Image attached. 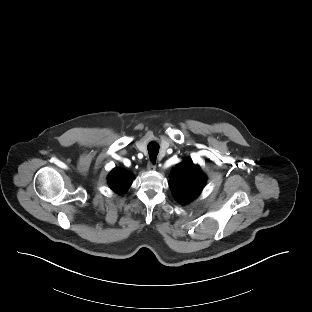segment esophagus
<instances>
[{
    "label": "esophagus",
    "mask_w": 312,
    "mask_h": 312,
    "mask_svg": "<svg viewBox=\"0 0 312 312\" xmlns=\"http://www.w3.org/2000/svg\"><path fill=\"white\" fill-rule=\"evenodd\" d=\"M156 169V165L153 164L151 161L147 164V170L154 171Z\"/></svg>",
    "instance_id": "esophagus-1"
}]
</instances>
